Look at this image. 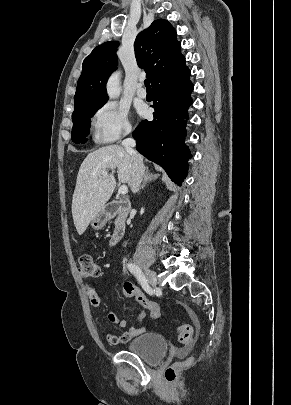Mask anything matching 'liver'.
<instances>
[{"label":"liver","mask_w":291,"mask_h":405,"mask_svg":"<svg viewBox=\"0 0 291 405\" xmlns=\"http://www.w3.org/2000/svg\"><path fill=\"white\" fill-rule=\"evenodd\" d=\"M109 169H117L119 182L131 187V156L122 146L108 145L89 153L79 168L72 199V216L79 235L104 208L115 189L116 180L112 174L101 176Z\"/></svg>","instance_id":"obj_1"}]
</instances>
